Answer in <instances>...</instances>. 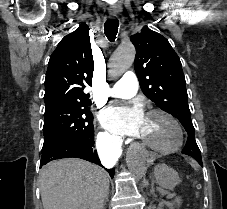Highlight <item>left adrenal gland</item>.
Listing matches in <instances>:
<instances>
[{
    "mask_svg": "<svg viewBox=\"0 0 227 209\" xmlns=\"http://www.w3.org/2000/svg\"><path fill=\"white\" fill-rule=\"evenodd\" d=\"M151 195H153V197H155V189H154V179H152V183H151V191H150Z\"/></svg>",
    "mask_w": 227,
    "mask_h": 209,
    "instance_id": "obj_1",
    "label": "left adrenal gland"
}]
</instances>
